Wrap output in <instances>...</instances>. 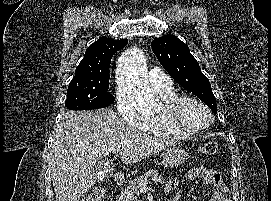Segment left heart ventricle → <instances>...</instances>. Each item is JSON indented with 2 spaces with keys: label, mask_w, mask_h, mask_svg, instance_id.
<instances>
[{
  "label": "left heart ventricle",
  "mask_w": 271,
  "mask_h": 201,
  "mask_svg": "<svg viewBox=\"0 0 271 201\" xmlns=\"http://www.w3.org/2000/svg\"><path fill=\"white\" fill-rule=\"evenodd\" d=\"M180 113L186 123L196 127L206 125L209 120L207 112L199 105L191 102L185 103Z\"/></svg>",
  "instance_id": "left-heart-ventricle-1"
}]
</instances>
